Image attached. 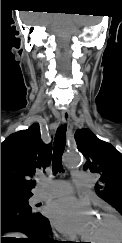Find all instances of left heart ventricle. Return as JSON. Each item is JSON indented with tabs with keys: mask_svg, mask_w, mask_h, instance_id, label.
<instances>
[{
	"mask_svg": "<svg viewBox=\"0 0 122 243\" xmlns=\"http://www.w3.org/2000/svg\"><path fill=\"white\" fill-rule=\"evenodd\" d=\"M115 235V226L113 222L103 216L92 218L85 238L91 239L98 243H107Z\"/></svg>",
	"mask_w": 122,
	"mask_h": 243,
	"instance_id": "obj_1",
	"label": "left heart ventricle"
}]
</instances>
